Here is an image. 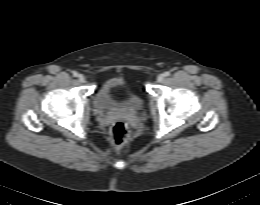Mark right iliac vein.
<instances>
[{"instance_id":"obj_1","label":"right iliac vein","mask_w":260,"mask_h":205,"mask_svg":"<svg viewBox=\"0 0 260 205\" xmlns=\"http://www.w3.org/2000/svg\"><path fill=\"white\" fill-rule=\"evenodd\" d=\"M78 80H79V82H84V81H85L84 75L79 74V75H78Z\"/></svg>"}]
</instances>
